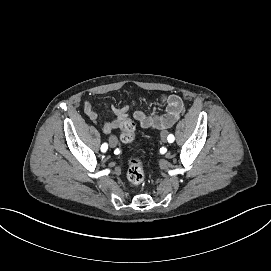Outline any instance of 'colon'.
<instances>
[{"instance_id": "5ec220e1", "label": "colon", "mask_w": 271, "mask_h": 271, "mask_svg": "<svg viewBox=\"0 0 271 271\" xmlns=\"http://www.w3.org/2000/svg\"><path fill=\"white\" fill-rule=\"evenodd\" d=\"M121 141L130 144L135 139V123L130 118H125L121 124ZM127 178L133 185H140L144 182L145 172L143 163L139 158H134L130 161Z\"/></svg>"}]
</instances>
